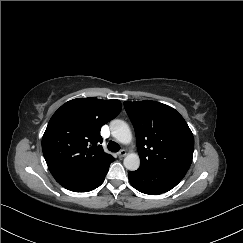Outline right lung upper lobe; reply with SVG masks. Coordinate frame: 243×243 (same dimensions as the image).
Returning a JSON list of instances; mask_svg holds the SVG:
<instances>
[{
    "label": "right lung upper lobe",
    "mask_w": 243,
    "mask_h": 243,
    "mask_svg": "<svg viewBox=\"0 0 243 243\" xmlns=\"http://www.w3.org/2000/svg\"><path fill=\"white\" fill-rule=\"evenodd\" d=\"M120 111L119 100L89 97L70 100L54 113L42 138V150L57 182L83 175L114 159L100 145V129Z\"/></svg>",
    "instance_id": "cb5924a9"
}]
</instances>
